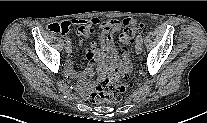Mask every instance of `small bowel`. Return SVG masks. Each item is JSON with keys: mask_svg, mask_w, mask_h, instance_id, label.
Instances as JSON below:
<instances>
[{"mask_svg": "<svg viewBox=\"0 0 207 123\" xmlns=\"http://www.w3.org/2000/svg\"><path fill=\"white\" fill-rule=\"evenodd\" d=\"M97 19L91 20H65L60 22V33L67 35L71 26L76 25L79 27L78 33L81 37V43L91 34L93 31V25L97 24ZM133 24V20L124 19L110 20L101 24L100 34V46L96 43H92L87 49V56L89 58L88 66L83 70L76 72L73 70L72 61L66 62V70L71 78L76 80L75 89L82 97H88L97 82L95 79L94 66L98 64L100 66V75H104L107 71L106 61L109 63V67L113 70L126 71L129 68L127 61L123 63L119 62L118 53L115 49L113 34L119 31L122 25Z\"/></svg>", "mask_w": 207, "mask_h": 123, "instance_id": "1", "label": "small bowel"}]
</instances>
